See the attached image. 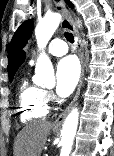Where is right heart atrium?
Instances as JSON below:
<instances>
[{"label":"right heart atrium","mask_w":114,"mask_h":156,"mask_svg":"<svg viewBox=\"0 0 114 156\" xmlns=\"http://www.w3.org/2000/svg\"><path fill=\"white\" fill-rule=\"evenodd\" d=\"M45 98H46L47 102L51 101V100H53V94L49 91H45Z\"/></svg>","instance_id":"1"}]
</instances>
